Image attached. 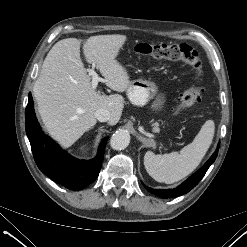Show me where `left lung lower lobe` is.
<instances>
[{"instance_id": "obj_1", "label": "left lung lower lobe", "mask_w": 247, "mask_h": 247, "mask_svg": "<svg viewBox=\"0 0 247 247\" xmlns=\"http://www.w3.org/2000/svg\"><path fill=\"white\" fill-rule=\"evenodd\" d=\"M220 143H218L216 151L213 153V155L210 157V159L205 163V165L198 170L195 174H193L191 177H189L185 182H183L181 185L174 189H163V190H157L150 187H144L150 192L155 194L156 196L160 198H176L178 196H181L187 192H189L191 189H193L199 181L203 178L209 167L212 165V163L215 161L218 150H219Z\"/></svg>"}]
</instances>
